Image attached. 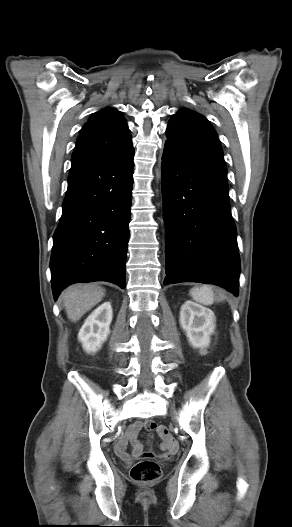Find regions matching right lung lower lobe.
Returning <instances> with one entry per match:
<instances>
[{"label":"right lung lower lobe","mask_w":292,"mask_h":527,"mask_svg":"<svg viewBox=\"0 0 292 527\" xmlns=\"http://www.w3.org/2000/svg\"><path fill=\"white\" fill-rule=\"evenodd\" d=\"M133 157L132 147L72 159L50 260L55 300L76 282L108 281L124 289Z\"/></svg>","instance_id":"1"}]
</instances>
